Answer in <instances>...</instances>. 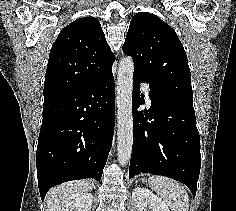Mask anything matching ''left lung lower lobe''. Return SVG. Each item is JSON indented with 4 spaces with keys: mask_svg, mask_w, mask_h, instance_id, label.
<instances>
[{
    "mask_svg": "<svg viewBox=\"0 0 236 211\" xmlns=\"http://www.w3.org/2000/svg\"><path fill=\"white\" fill-rule=\"evenodd\" d=\"M141 82L149 84L151 107L137 111L145 102L140 94ZM132 107L130 178L140 172L167 176L187 185L195 196L201 155L193 104L175 98L134 73Z\"/></svg>",
    "mask_w": 236,
    "mask_h": 211,
    "instance_id": "left-lung-lower-lobe-1",
    "label": "left lung lower lobe"
}]
</instances>
